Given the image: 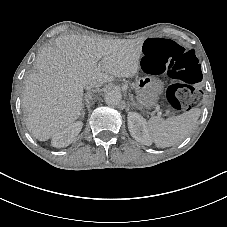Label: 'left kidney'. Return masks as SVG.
<instances>
[{"label":"left kidney","instance_id":"left-kidney-1","mask_svg":"<svg viewBox=\"0 0 227 227\" xmlns=\"http://www.w3.org/2000/svg\"><path fill=\"white\" fill-rule=\"evenodd\" d=\"M127 125L131 136L143 145H150L151 139L146 129V122L142 116L135 112H130L127 116Z\"/></svg>","mask_w":227,"mask_h":227}]
</instances>
